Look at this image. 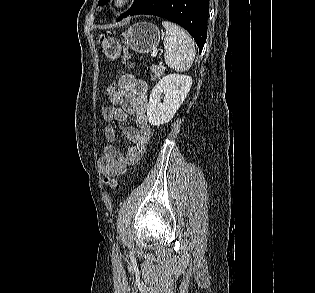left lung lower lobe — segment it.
<instances>
[{
	"mask_svg": "<svg viewBox=\"0 0 315 293\" xmlns=\"http://www.w3.org/2000/svg\"><path fill=\"white\" fill-rule=\"evenodd\" d=\"M209 0H143L129 15H156L185 28L200 52L206 42Z\"/></svg>",
	"mask_w": 315,
	"mask_h": 293,
	"instance_id": "obj_1",
	"label": "left lung lower lobe"
}]
</instances>
